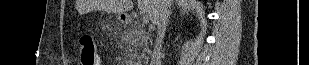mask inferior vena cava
Here are the masks:
<instances>
[{
  "label": "inferior vena cava",
  "instance_id": "1",
  "mask_svg": "<svg viewBox=\"0 0 309 65\" xmlns=\"http://www.w3.org/2000/svg\"><path fill=\"white\" fill-rule=\"evenodd\" d=\"M171 0H165L164 8L157 20V38L154 46V51L150 65H161V49L163 44V38L165 35L166 27L169 22Z\"/></svg>",
  "mask_w": 309,
  "mask_h": 65
}]
</instances>
